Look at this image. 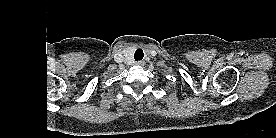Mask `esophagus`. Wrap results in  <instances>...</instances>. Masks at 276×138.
<instances>
[{
  "instance_id": "34e87169",
  "label": "esophagus",
  "mask_w": 276,
  "mask_h": 138,
  "mask_svg": "<svg viewBox=\"0 0 276 138\" xmlns=\"http://www.w3.org/2000/svg\"><path fill=\"white\" fill-rule=\"evenodd\" d=\"M136 65L144 66V65H145V62H144V61H137V62H136Z\"/></svg>"
}]
</instances>
